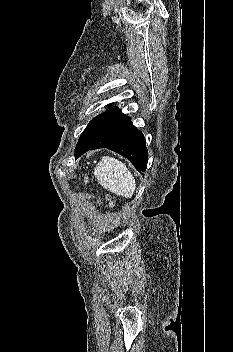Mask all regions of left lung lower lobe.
Returning a JSON list of instances; mask_svg holds the SVG:
<instances>
[{"instance_id":"left-lung-lower-lobe-1","label":"left lung lower lobe","mask_w":233,"mask_h":352,"mask_svg":"<svg viewBox=\"0 0 233 352\" xmlns=\"http://www.w3.org/2000/svg\"><path fill=\"white\" fill-rule=\"evenodd\" d=\"M108 148L127 158L137 169L144 172L148 162V151L141 131L133 126L128 116L122 118L99 136L76 151L77 159L89 150Z\"/></svg>"}]
</instances>
